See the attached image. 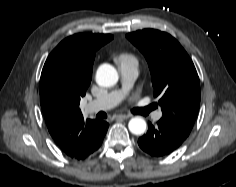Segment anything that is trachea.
Instances as JSON below:
<instances>
[{"label": "trachea", "instance_id": "obj_1", "mask_svg": "<svg viewBox=\"0 0 236 187\" xmlns=\"http://www.w3.org/2000/svg\"><path fill=\"white\" fill-rule=\"evenodd\" d=\"M152 108L151 107H148V110H151Z\"/></svg>", "mask_w": 236, "mask_h": 187}]
</instances>
